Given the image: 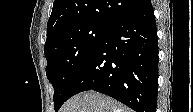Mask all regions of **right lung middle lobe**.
I'll return each instance as SVG.
<instances>
[{
	"mask_svg": "<svg viewBox=\"0 0 193 112\" xmlns=\"http://www.w3.org/2000/svg\"><path fill=\"white\" fill-rule=\"evenodd\" d=\"M107 30L108 27L104 25L80 23L60 30L46 41V74L54 87L55 111L69 99L78 72Z\"/></svg>",
	"mask_w": 193,
	"mask_h": 112,
	"instance_id": "1",
	"label": "right lung middle lobe"
}]
</instances>
